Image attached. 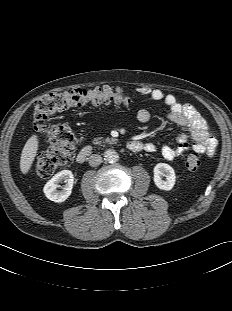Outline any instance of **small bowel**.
Masks as SVG:
<instances>
[{
	"mask_svg": "<svg viewBox=\"0 0 232 311\" xmlns=\"http://www.w3.org/2000/svg\"><path fill=\"white\" fill-rule=\"evenodd\" d=\"M138 92L151 101L162 102L168 107L167 118L187 130V134L178 137V145H163L161 154L167 160H174L188 151L199 154L211 155L216 148L217 142L209 132L205 119L196 108L190 104L180 102L174 95L166 94L160 89L142 86ZM151 113L147 109H140L137 112V120L140 123H148L151 120ZM192 139V143L188 140ZM146 152H154L156 147L152 143L144 145Z\"/></svg>",
	"mask_w": 232,
	"mask_h": 311,
	"instance_id": "small-bowel-1",
	"label": "small bowel"
}]
</instances>
